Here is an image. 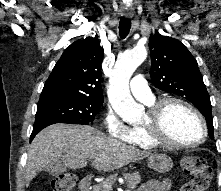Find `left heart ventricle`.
Masks as SVG:
<instances>
[{"label":"left heart ventricle","mask_w":221,"mask_h":191,"mask_svg":"<svg viewBox=\"0 0 221 191\" xmlns=\"http://www.w3.org/2000/svg\"><path fill=\"white\" fill-rule=\"evenodd\" d=\"M168 137L176 142L193 143L201 138L202 130L196 117L187 109L174 105L166 117Z\"/></svg>","instance_id":"left-heart-ventricle-1"}]
</instances>
